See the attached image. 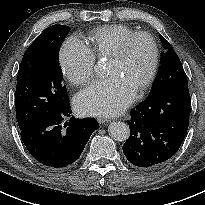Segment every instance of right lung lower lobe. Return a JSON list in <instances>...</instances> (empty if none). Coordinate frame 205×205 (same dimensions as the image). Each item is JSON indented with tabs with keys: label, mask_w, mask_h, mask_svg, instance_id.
I'll use <instances>...</instances> for the list:
<instances>
[{
	"label": "right lung lower lobe",
	"mask_w": 205,
	"mask_h": 205,
	"mask_svg": "<svg viewBox=\"0 0 205 205\" xmlns=\"http://www.w3.org/2000/svg\"><path fill=\"white\" fill-rule=\"evenodd\" d=\"M71 113L69 102L52 108L21 129V138L29 153L50 169L72 166L80 157L91 134L98 128L92 118L74 117L64 123Z\"/></svg>",
	"instance_id": "right-lung-lower-lobe-1"
}]
</instances>
